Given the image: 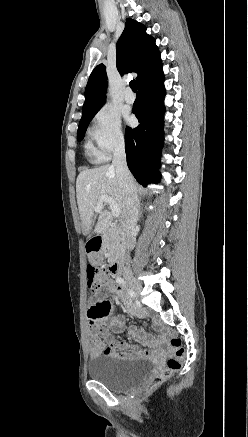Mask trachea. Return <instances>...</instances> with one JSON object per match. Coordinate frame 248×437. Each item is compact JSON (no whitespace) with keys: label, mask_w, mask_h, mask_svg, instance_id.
<instances>
[{"label":"trachea","mask_w":248,"mask_h":437,"mask_svg":"<svg viewBox=\"0 0 248 437\" xmlns=\"http://www.w3.org/2000/svg\"><path fill=\"white\" fill-rule=\"evenodd\" d=\"M130 88L133 90V92L137 91V86H136V81L135 80H131L129 83Z\"/></svg>","instance_id":"1"}]
</instances>
